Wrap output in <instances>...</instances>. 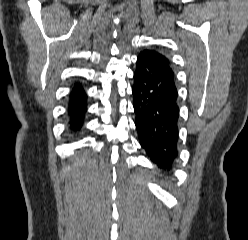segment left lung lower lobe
<instances>
[{"label": "left lung lower lobe", "mask_w": 248, "mask_h": 240, "mask_svg": "<svg viewBox=\"0 0 248 240\" xmlns=\"http://www.w3.org/2000/svg\"><path fill=\"white\" fill-rule=\"evenodd\" d=\"M133 107L142 148L161 166L171 168L178 156L179 106L175 80L140 53L134 72Z\"/></svg>", "instance_id": "0a47b994"}]
</instances>
